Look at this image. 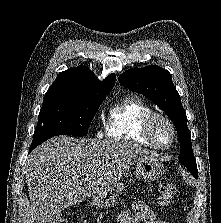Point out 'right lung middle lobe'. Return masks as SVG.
I'll list each match as a JSON object with an SVG mask.
<instances>
[{"mask_svg":"<svg viewBox=\"0 0 221 223\" xmlns=\"http://www.w3.org/2000/svg\"><path fill=\"white\" fill-rule=\"evenodd\" d=\"M105 98L43 102L30 149L56 135L86 136Z\"/></svg>","mask_w":221,"mask_h":223,"instance_id":"right-lung-middle-lobe-1","label":"right lung middle lobe"}]
</instances>
